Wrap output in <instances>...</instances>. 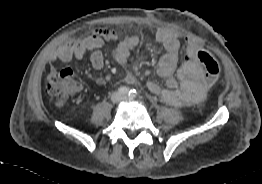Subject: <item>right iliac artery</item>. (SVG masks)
<instances>
[{
	"label": "right iliac artery",
	"mask_w": 262,
	"mask_h": 184,
	"mask_svg": "<svg viewBox=\"0 0 262 184\" xmlns=\"http://www.w3.org/2000/svg\"><path fill=\"white\" fill-rule=\"evenodd\" d=\"M118 91H119L120 94L129 95L132 90H130V89L127 88V87L122 86V87H120V88L118 89Z\"/></svg>",
	"instance_id": "right-iliac-artery-1"
}]
</instances>
